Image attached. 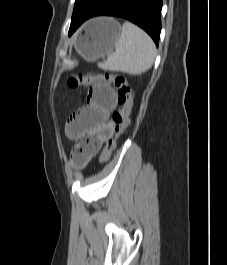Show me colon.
I'll use <instances>...</instances> for the list:
<instances>
[{
	"mask_svg": "<svg viewBox=\"0 0 227 265\" xmlns=\"http://www.w3.org/2000/svg\"><path fill=\"white\" fill-rule=\"evenodd\" d=\"M67 84L71 89L90 87L97 84H111L117 91L119 109L112 116L114 135L107 140L99 157L100 163L104 164L111 158L118 138L122 136L129 124L132 110V95L129 81L125 76L118 74L86 75L76 73L68 78ZM71 160L75 166H82L86 163L85 155L76 147H74L71 153Z\"/></svg>",
	"mask_w": 227,
	"mask_h": 265,
	"instance_id": "5ec220e1",
	"label": "colon"
}]
</instances>
